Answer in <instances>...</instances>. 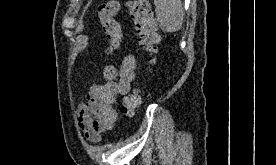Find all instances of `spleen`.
I'll use <instances>...</instances> for the list:
<instances>
[{"label": "spleen", "instance_id": "1", "mask_svg": "<svg viewBox=\"0 0 276 165\" xmlns=\"http://www.w3.org/2000/svg\"><path fill=\"white\" fill-rule=\"evenodd\" d=\"M156 18L164 32H177L183 24L184 10L181 0H154Z\"/></svg>", "mask_w": 276, "mask_h": 165}]
</instances>
